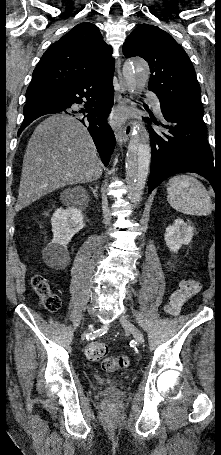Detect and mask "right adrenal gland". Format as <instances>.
Listing matches in <instances>:
<instances>
[{
	"instance_id": "right-adrenal-gland-1",
	"label": "right adrenal gland",
	"mask_w": 221,
	"mask_h": 455,
	"mask_svg": "<svg viewBox=\"0 0 221 455\" xmlns=\"http://www.w3.org/2000/svg\"><path fill=\"white\" fill-rule=\"evenodd\" d=\"M90 188H91V190H92V192H93L95 198L98 199V196H97L98 186H95V188H93V187H90Z\"/></svg>"
}]
</instances>
